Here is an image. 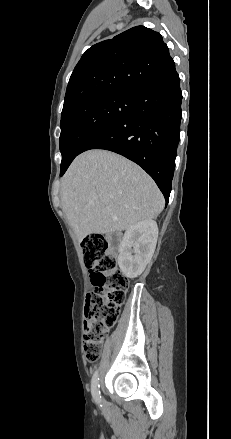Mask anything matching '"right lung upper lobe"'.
Returning <instances> with one entry per match:
<instances>
[{"mask_svg": "<svg viewBox=\"0 0 231 439\" xmlns=\"http://www.w3.org/2000/svg\"><path fill=\"white\" fill-rule=\"evenodd\" d=\"M174 67L158 32L133 27L83 54L70 77L62 113L99 95L134 93Z\"/></svg>", "mask_w": 231, "mask_h": 439, "instance_id": "cb5924a9", "label": "right lung upper lobe"}]
</instances>
